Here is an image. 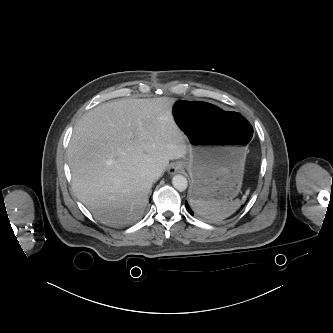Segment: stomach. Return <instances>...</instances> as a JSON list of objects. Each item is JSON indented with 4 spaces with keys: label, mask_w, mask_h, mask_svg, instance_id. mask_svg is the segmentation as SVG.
I'll use <instances>...</instances> for the list:
<instances>
[{
    "label": "stomach",
    "mask_w": 333,
    "mask_h": 333,
    "mask_svg": "<svg viewBox=\"0 0 333 333\" xmlns=\"http://www.w3.org/2000/svg\"><path fill=\"white\" fill-rule=\"evenodd\" d=\"M172 114L188 144L190 198L232 201L242 186L250 123L236 110L199 99L177 100Z\"/></svg>",
    "instance_id": "0dacf381"
}]
</instances>
